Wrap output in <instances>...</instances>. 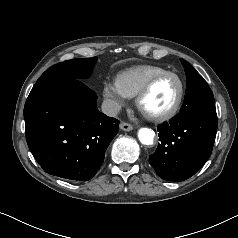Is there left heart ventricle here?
Listing matches in <instances>:
<instances>
[{"instance_id": "1", "label": "left heart ventricle", "mask_w": 238, "mask_h": 238, "mask_svg": "<svg viewBox=\"0 0 238 238\" xmlns=\"http://www.w3.org/2000/svg\"><path fill=\"white\" fill-rule=\"evenodd\" d=\"M179 93V82L173 76L158 80L142 101V110L148 114H159L168 110Z\"/></svg>"}]
</instances>
